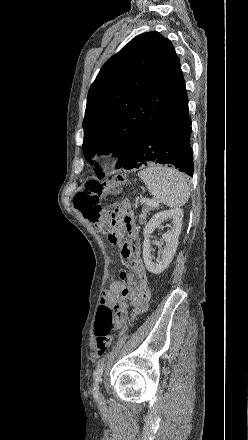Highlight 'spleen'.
I'll use <instances>...</instances> for the list:
<instances>
[{
	"mask_svg": "<svg viewBox=\"0 0 248 440\" xmlns=\"http://www.w3.org/2000/svg\"><path fill=\"white\" fill-rule=\"evenodd\" d=\"M156 200L169 207L184 205L190 196L184 177L175 169L151 165L138 173Z\"/></svg>",
	"mask_w": 248,
	"mask_h": 440,
	"instance_id": "3e777b00",
	"label": "spleen"
}]
</instances>
